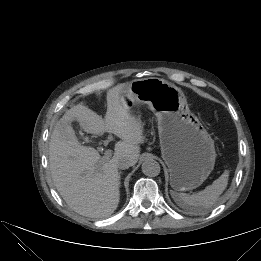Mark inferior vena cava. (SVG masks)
<instances>
[{
  "label": "inferior vena cava",
  "mask_w": 261,
  "mask_h": 261,
  "mask_svg": "<svg viewBox=\"0 0 261 261\" xmlns=\"http://www.w3.org/2000/svg\"><path fill=\"white\" fill-rule=\"evenodd\" d=\"M130 166H132V162L127 157H122L117 162V167L119 169H128Z\"/></svg>",
  "instance_id": "602c4592"
}]
</instances>
